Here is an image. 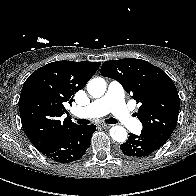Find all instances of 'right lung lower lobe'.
<instances>
[{
	"label": "right lung lower lobe",
	"instance_id": "1",
	"mask_svg": "<svg viewBox=\"0 0 196 196\" xmlns=\"http://www.w3.org/2000/svg\"><path fill=\"white\" fill-rule=\"evenodd\" d=\"M94 131H96L95 125H76L40 152L59 163L76 161L90 147V140Z\"/></svg>",
	"mask_w": 196,
	"mask_h": 196
}]
</instances>
